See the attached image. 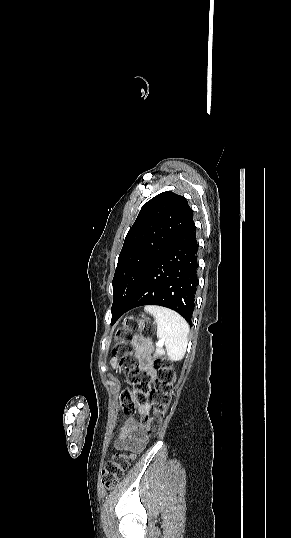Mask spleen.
<instances>
[{"instance_id": "obj_1", "label": "spleen", "mask_w": 291, "mask_h": 538, "mask_svg": "<svg viewBox=\"0 0 291 538\" xmlns=\"http://www.w3.org/2000/svg\"><path fill=\"white\" fill-rule=\"evenodd\" d=\"M144 310L155 317L157 337L164 343L168 358L172 361L182 359L188 344L189 325L186 320L177 312L160 306H146ZM156 352L165 354L162 346Z\"/></svg>"}]
</instances>
